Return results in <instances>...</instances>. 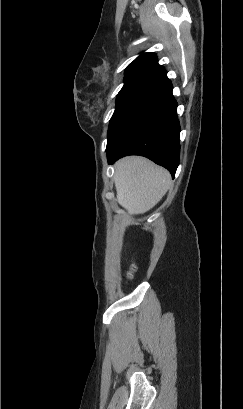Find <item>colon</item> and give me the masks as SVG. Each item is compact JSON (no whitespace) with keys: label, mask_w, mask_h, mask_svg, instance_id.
Here are the masks:
<instances>
[{"label":"colon","mask_w":243,"mask_h":409,"mask_svg":"<svg viewBox=\"0 0 243 409\" xmlns=\"http://www.w3.org/2000/svg\"><path fill=\"white\" fill-rule=\"evenodd\" d=\"M135 270H136V267H135L134 265L131 266V267L127 270L126 278H127L128 280H130V279L132 278L133 273L135 272Z\"/></svg>","instance_id":"colon-1"}]
</instances>
